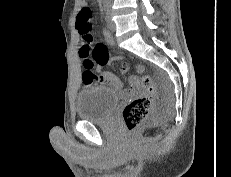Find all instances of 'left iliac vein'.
Segmentation results:
<instances>
[{"label": "left iliac vein", "mask_w": 231, "mask_h": 177, "mask_svg": "<svg viewBox=\"0 0 231 177\" xmlns=\"http://www.w3.org/2000/svg\"><path fill=\"white\" fill-rule=\"evenodd\" d=\"M106 24L110 31L114 32L116 30V25L114 21L111 19V14L109 12H107L106 15Z\"/></svg>", "instance_id": "obj_1"}]
</instances>
